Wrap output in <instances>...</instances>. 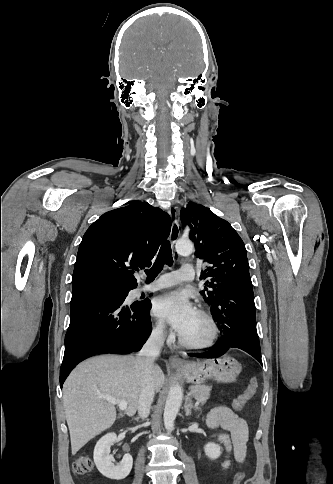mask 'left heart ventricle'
Returning <instances> with one entry per match:
<instances>
[{
	"label": "left heart ventricle",
	"mask_w": 333,
	"mask_h": 484,
	"mask_svg": "<svg viewBox=\"0 0 333 484\" xmlns=\"http://www.w3.org/2000/svg\"><path fill=\"white\" fill-rule=\"evenodd\" d=\"M210 334L207 321L198 313L193 317L181 336L189 342L200 343L205 341Z\"/></svg>",
	"instance_id": "1"
}]
</instances>
